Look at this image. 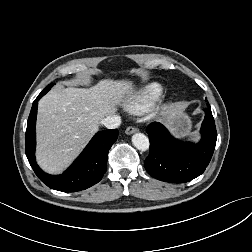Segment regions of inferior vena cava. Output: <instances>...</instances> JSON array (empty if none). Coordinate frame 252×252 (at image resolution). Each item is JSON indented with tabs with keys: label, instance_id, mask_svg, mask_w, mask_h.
<instances>
[{
	"label": "inferior vena cava",
	"instance_id": "602c4592",
	"mask_svg": "<svg viewBox=\"0 0 252 252\" xmlns=\"http://www.w3.org/2000/svg\"><path fill=\"white\" fill-rule=\"evenodd\" d=\"M101 123L108 129H115L120 126L121 118L118 115L107 116Z\"/></svg>",
	"mask_w": 252,
	"mask_h": 252
}]
</instances>
